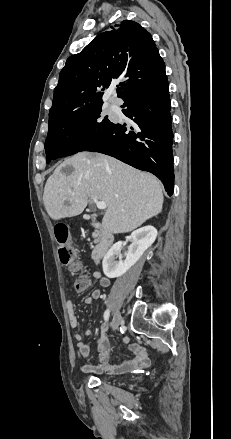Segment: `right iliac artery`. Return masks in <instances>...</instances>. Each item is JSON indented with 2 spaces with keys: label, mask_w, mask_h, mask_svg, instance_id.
Wrapping results in <instances>:
<instances>
[{
  "label": "right iliac artery",
  "mask_w": 231,
  "mask_h": 439,
  "mask_svg": "<svg viewBox=\"0 0 231 439\" xmlns=\"http://www.w3.org/2000/svg\"><path fill=\"white\" fill-rule=\"evenodd\" d=\"M109 315H110V311H109V309H107V310L104 312V320H105L106 322L109 320Z\"/></svg>",
  "instance_id": "82829eb1"
}]
</instances>
